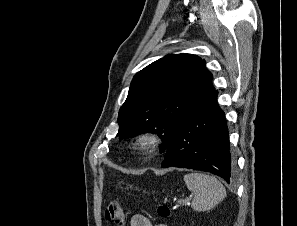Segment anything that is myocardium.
Segmentation results:
<instances>
[{
    "mask_svg": "<svg viewBox=\"0 0 297 226\" xmlns=\"http://www.w3.org/2000/svg\"><path fill=\"white\" fill-rule=\"evenodd\" d=\"M161 143V137L154 131H143L134 140L135 147L143 155H151L160 147Z\"/></svg>",
    "mask_w": 297,
    "mask_h": 226,
    "instance_id": "f54148a6",
    "label": "myocardium"
}]
</instances>
